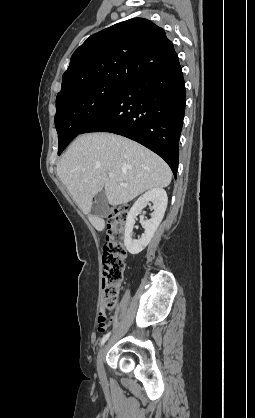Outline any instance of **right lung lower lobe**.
Instances as JSON below:
<instances>
[{
	"instance_id": "1",
	"label": "right lung lower lobe",
	"mask_w": 255,
	"mask_h": 418,
	"mask_svg": "<svg viewBox=\"0 0 255 418\" xmlns=\"http://www.w3.org/2000/svg\"><path fill=\"white\" fill-rule=\"evenodd\" d=\"M179 61L133 80L81 132H111L146 146L170 166L175 178L185 111Z\"/></svg>"
}]
</instances>
